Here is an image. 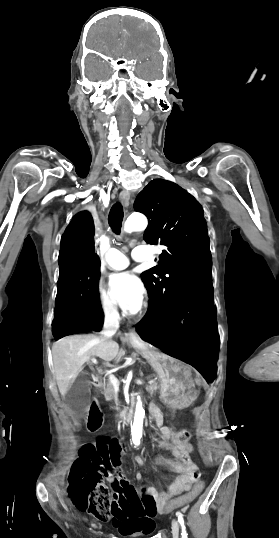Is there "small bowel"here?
<instances>
[{
  "label": "small bowel",
  "instance_id": "small-bowel-1",
  "mask_svg": "<svg viewBox=\"0 0 279 538\" xmlns=\"http://www.w3.org/2000/svg\"><path fill=\"white\" fill-rule=\"evenodd\" d=\"M154 421L156 426L160 429L159 438L156 439L155 442L159 446L169 449L172 458L167 459L159 457L153 462V466L160 468L168 465L176 474L166 484L163 490H153L156 504L158 508L161 509L166 505V502L170 497L187 492L191 488L193 481L185 474V466L182 461L185 447L177 443L176 432L168 426H163V416L160 412L154 416ZM134 462L140 466L146 465V461L140 456H136ZM120 465H123L122 459ZM112 521L114 526L118 528L119 532L123 535H128L134 532L148 534L154 529V521L152 517L126 518L115 516L112 518Z\"/></svg>",
  "mask_w": 279,
  "mask_h": 538
}]
</instances>
